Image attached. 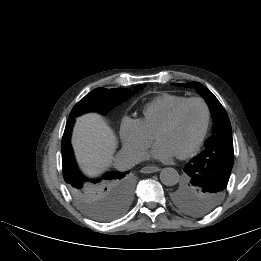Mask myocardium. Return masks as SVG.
I'll return each mask as SVG.
<instances>
[{"label": "myocardium", "instance_id": "obj_1", "mask_svg": "<svg viewBox=\"0 0 261 261\" xmlns=\"http://www.w3.org/2000/svg\"><path fill=\"white\" fill-rule=\"evenodd\" d=\"M193 102L200 103L203 106L204 111H205V121H204L202 131H201L200 135L198 136V138L196 139V141L191 146H189L186 150L177 154V156L181 159L187 158L191 154H193L195 151H197L199 149V147L202 145V143L204 142L206 135L208 133L210 119H211V112H210V107H209L208 103L203 98L191 97V98H188L185 101H183L181 104H179L175 108V110L172 112V114L169 116V118L160 126V128L157 130V132L155 134L156 139H158L159 133L165 129L172 127L177 122V120H178L180 114L182 113V111L184 110V108L188 104L193 103Z\"/></svg>", "mask_w": 261, "mask_h": 261}]
</instances>
